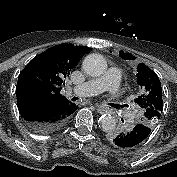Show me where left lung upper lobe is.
<instances>
[{
    "label": "left lung upper lobe",
    "mask_w": 177,
    "mask_h": 177,
    "mask_svg": "<svg viewBox=\"0 0 177 177\" xmlns=\"http://www.w3.org/2000/svg\"><path fill=\"white\" fill-rule=\"evenodd\" d=\"M137 71V83L141 93L135 99V103L139 105L143 113L141 123L153 128L163 111L161 82L156 73L144 63L138 65Z\"/></svg>",
    "instance_id": "5c2ea615"
}]
</instances>
